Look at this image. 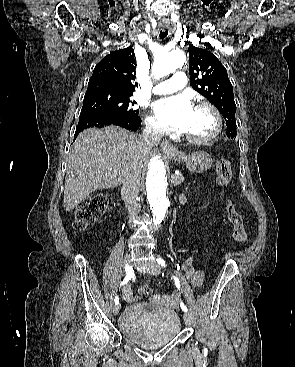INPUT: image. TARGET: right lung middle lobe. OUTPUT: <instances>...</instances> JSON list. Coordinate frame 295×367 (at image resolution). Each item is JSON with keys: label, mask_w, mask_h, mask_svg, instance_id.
Returning <instances> with one entry per match:
<instances>
[{"label": "right lung middle lobe", "mask_w": 295, "mask_h": 367, "mask_svg": "<svg viewBox=\"0 0 295 367\" xmlns=\"http://www.w3.org/2000/svg\"><path fill=\"white\" fill-rule=\"evenodd\" d=\"M131 95L104 89L87 90L80 118L99 115H138L139 110L132 108L136 102L129 99Z\"/></svg>", "instance_id": "1"}]
</instances>
